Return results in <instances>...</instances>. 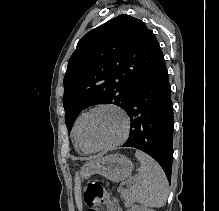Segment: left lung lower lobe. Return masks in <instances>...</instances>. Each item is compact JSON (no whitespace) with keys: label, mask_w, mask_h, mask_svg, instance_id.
I'll use <instances>...</instances> for the list:
<instances>
[{"label":"left lung lower lobe","mask_w":219,"mask_h":211,"mask_svg":"<svg viewBox=\"0 0 219 211\" xmlns=\"http://www.w3.org/2000/svg\"><path fill=\"white\" fill-rule=\"evenodd\" d=\"M171 87L162 58L135 86L125 111L130 117L129 138L124 147H134L154 158L171 180L173 111Z\"/></svg>","instance_id":"obj_1"}]
</instances>
